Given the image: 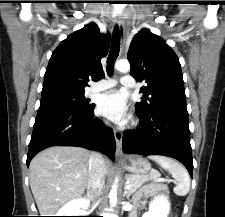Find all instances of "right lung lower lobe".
Here are the masks:
<instances>
[{
	"instance_id": "right-lung-lower-lobe-1",
	"label": "right lung lower lobe",
	"mask_w": 225,
	"mask_h": 217,
	"mask_svg": "<svg viewBox=\"0 0 225 217\" xmlns=\"http://www.w3.org/2000/svg\"><path fill=\"white\" fill-rule=\"evenodd\" d=\"M95 105L84 110L63 106H40L29 143L27 166L41 150L51 146H79L100 150L112 159L115 138L100 119L93 117Z\"/></svg>"
}]
</instances>
